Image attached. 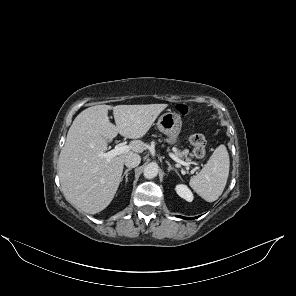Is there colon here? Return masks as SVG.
I'll return each instance as SVG.
<instances>
[{"mask_svg": "<svg viewBox=\"0 0 296 296\" xmlns=\"http://www.w3.org/2000/svg\"><path fill=\"white\" fill-rule=\"evenodd\" d=\"M176 110L181 115H187L190 112V108L186 104H178ZM189 141L193 147L194 155L199 159L204 158L207 144L205 136L202 134H193L190 136Z\"/></svg>", "mask_w": 296, "mask_h": 296, "instance_id": "5ec220e1", "label": "colon"}]
</instances>
